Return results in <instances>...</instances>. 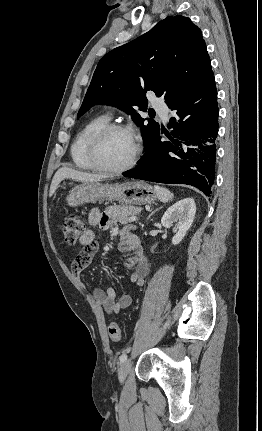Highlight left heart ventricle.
<instances>
[{
  "label": "left heart ventricle",
  "mask_w": 262,
  "mask_h": 431,
  "mask_svg": "<svg viewBox=\"0 0 262 431\" xmlns=\"http://www.w3.org/2000/svg\"><path fill=\"white\" fill-rule=\"evenodd\" d=\"M135 143L131 135L125 132H114L108 135L101 146L103 162L110 167L126 164L134 151Z\"/></svg>",
  "instance_id": "obj_1"
}]
</instances>
